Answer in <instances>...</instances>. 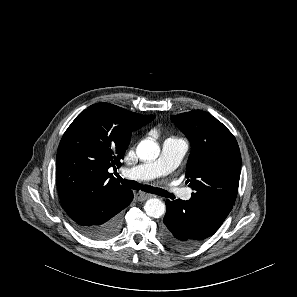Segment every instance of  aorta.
Masks as SVG:
<instances>
[{
  "label": "aorta",
  "mask_w": 297,
  "mask_h": 297,
  "mask_svg": "<svg viewBox=\"0 0 297 297\" xmlns=\"http://www.w3.org/2000/svg\"><path fill=\"white\" fill-rule=\"evenodd\" d=\"M136 153L143 161H153L158 158L160 147L153 140H142L137 146ZM144 210L149 217L159 218L164 214L166 207L160 199L151 198L146 201Z\"/></svg>",
  "instance_id": "aorta-1"
}]
</instances>
